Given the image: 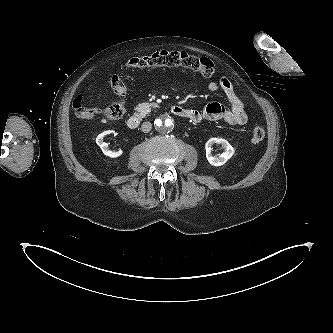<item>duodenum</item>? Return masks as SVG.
Here are the masks:
<instances>
[{"label":"duodenum","instance_id":"1","mask_svg":"<svg viewBox=\"0 0 333 333\" xmlns=\"http://www.w3.org/2000/svg\"><path fill=\"white\" fill-rule=\"evenodd\" d=\"M171 111H172L173 114H175L177 116H181V117H183L186 114L185 108H183V107H181L179 105L173 106L172 109H171ZM140 122H141L140 116L137 115V114H134V115H131L127 119V126L130 129H136L140 125Z\"/></svg>","mask_w":333,"mask_h":333}]
</instances>
